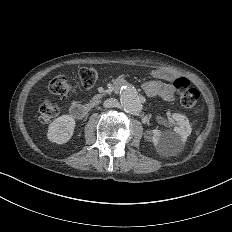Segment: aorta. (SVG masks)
I'll list each match as a JSON object with an SVG mask.
<instances>
[{"mask_svg":"<svg viewBox=\"0 0 232 232\" xmlns=\"http://www.w3.org/2000/svg\"><path fill=\"white\" fill-rule=\"evenodd\" d=\"M120 101L125 111L137 115L142 110V103L134 86L127 84L120 91Z\"/></svg>","mask_w":232,"mask_h":232,"instance_id":"762f6f07","label":"aorta"}]
</instances>
